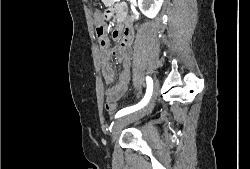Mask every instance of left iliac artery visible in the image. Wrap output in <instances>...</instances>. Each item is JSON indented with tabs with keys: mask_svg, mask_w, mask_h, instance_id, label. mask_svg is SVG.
I'll list each match as a JSON object with an SVG mask.
<instances>
[{
	"mask_svg": "<svg viewBox=\"0 0 250 169\" xmlns=\"http://www.w3.org/2000/svg\"><path fill=\"white\" fill-rule=\"evenodd\" d=\"M146 82H147V90H146V94H145L144 98L142 99V101L134 106H130V107H126V108L121 109L120 111L117 112V114L115 115V118H119V117L124 116L126 114H130L132 112H135V111L143 108L149 102V100L152 96V92H153V80L151 79V77L147 76Z\"/></svg>",
	"mask_w": 250,
	"mask_h": 169,
	"instance_id": "obj_1",
	"label": "left iliac artery"
}]
</instances>
